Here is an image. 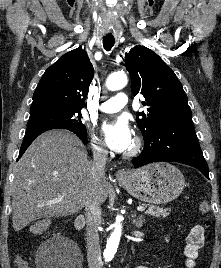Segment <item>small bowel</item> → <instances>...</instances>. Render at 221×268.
<instances>
[{
	"label": "small bowel",
	"instance_id": "c3829d8e",
	"mask_svg": "<svg viewBox=\"0 0 221 268\" xmlns=\"http://www.w3.org/2000/svg\"><path fill=\"white\" fill-rule=\"evenodd\" d=\"M205 235L204 228L201 225H195L191 228L187 238L185 253V265L187 268H193L195 260L198 257L199 251L204 245ZM137 268H148L146 266H140Z\"/></svg>",
	"mask_w": 221,
	"mask_h": 268
}]
</instances>
